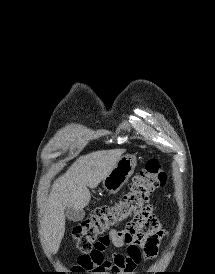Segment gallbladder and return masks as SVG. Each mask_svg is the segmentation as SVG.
<instances>
[{"label":"gallbladder","instance_id":"bac80fb5","mask_svg":"<svg viewBox=\"0 0 215 274\" xmlns=\"http://www.w3.org/2000/svg\"><path fill=\"white\" fill-rule=\"evenodd\" d=\"M64 213H65V218L73 222H79L85 216V212L83 209H74L71 207H66Z\"/></svg>","mask_w":215,"mask_h":274}]
</instances>
